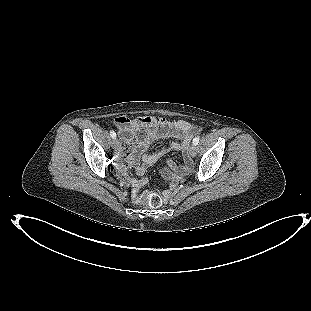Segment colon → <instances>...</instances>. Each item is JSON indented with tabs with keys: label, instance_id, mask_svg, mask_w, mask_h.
<instances>
[{
	"label": "colon",
	"instance_id": "colon-1",
	"mask_svg": "<svg viewBox=\"0 0 311 311\" xmlns=\"http://www.w3.org/2000/svg\"><path fill=\"white\" fill-rule=\"evenodd\" d=\"M143 200L146 205L153 207V208H157L161 206L163 203V198L154 191L146 192Z\"/></svg>",
	"mask_w": 311,
	"mask_h": 311
}]
</instances>
